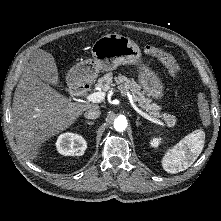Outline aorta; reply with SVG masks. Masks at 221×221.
I'll return each mask as SVG.
<instances>
[{
  "label": "aorta",
  "instance_id": "aorta-1",
  "mask_svg": "<svg viewBox=\"0 0 221 221\" xmlns=\"http://www.w3.org/2000/svg\"><path fill=\"white\" fill-rule=\"evenodd\" d=\"M114 128L116 131H124L127 128V120L125 117L119 116L114 120Z\"/></svg>",
  "mask_w": 221,
  "mask_h": 221
}]
</instances>
